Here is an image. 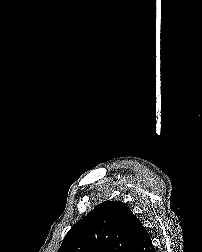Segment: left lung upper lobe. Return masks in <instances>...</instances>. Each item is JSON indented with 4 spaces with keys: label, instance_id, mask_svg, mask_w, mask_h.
Here are the masks:
<instances>
[{
    "label": "left lung upper lobe",
    "instance_id": "left-lung-upper-lobe-1",
    "mask_svg": "<svg viewBox=\"0 0 202 252\" xmlns=\"http://www.w3.org/2000/svg\"><path fill=\"white\" fill-rule=\"evenodd\" d=\"M140 225L125 203L105 201L72 226L57 252H133Z\"/></svg>",
    "mask_w": 202,
    "mask_h": 252
}]
</instances>
